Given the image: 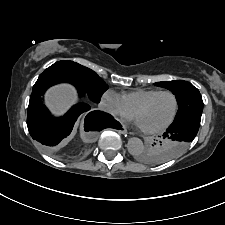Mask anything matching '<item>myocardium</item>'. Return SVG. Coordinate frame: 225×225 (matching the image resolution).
Wrapping results in <instances>:
<instances>
[{"instance_id":"f54148a6","label":"myocardium","mask_w":225,"mask_h":225,"mask_svg":"<svg viewBox=\"0 0 225 225\" xmlns=\"http://www.w3.org/2000/svg\"><path fill=\"white\" fill-rule=\"evenodd\" d=\"M162 94H170L173 97V99H174V110H173V113H172L171 117L169 118V120L166 123H164L163 125H161V126H159L157 128H150V129L141 128L142 131L145 132V133L154 134V133L162 132V131L166 130L168 127H170L173 124L174 120L176 119V116H177V113H178V110H179V100H178L177 95L171 90H161V91H158V92L154 93L150 97H148L141 104H139L137 106V108L134 110V112H133L134 116L137 117L138 113L141 110H143L156 97H158V96H160Z\"/></svg>"}]
</instances>
